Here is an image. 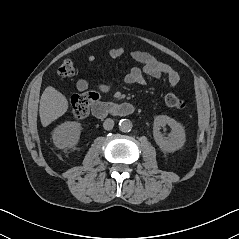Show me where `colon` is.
I'll use <instances>...</instances> for the list:
<instances>
[{"mask_svg": "<svg viewBox=\"0 0 239 239\" xmlns=\"http://www.w3.org/2000/svg\"><path fill=\"white\" fill-rule=\"evenodd\" d=\"M75 70L74 62L67 59L60 65L58 74L66 78L74 75ZM98 98V94L95 92H85L75 95L71 102L74 117L77 119H84L87 117L91 104L97 101ZM165 103L167 106L176 110H183L185 108V103L173 93H169L165 96Z\"/></svg>", "mask_w": 239, "mask_h": 239, "instance_id": "1", "label": "colon"}]
</instances>
